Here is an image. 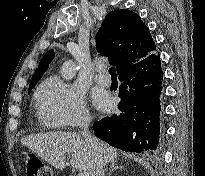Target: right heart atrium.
Instances as JSON below:
<instances>
[{"mask_svg": "<svg viewBox=\"0 0 205 176\" xmlns=\"http://www.w3.org/2000/svg\"><path fill=\"white\" fill-rule=\"evenodd\" d=\"M36 103L43 121L52 129L81 126L89 120L82 92L57 76L46 79L40 85Z\"/></svg>", "mask_w": 205, "mask_h": 176, "instance_id": "obj_1", "label": "right heart atrium"}]
</instances>
